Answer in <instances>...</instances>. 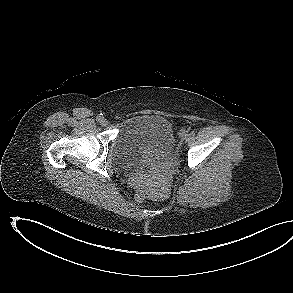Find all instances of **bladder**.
Returning <instances> with one entry per match:
<instances>
[{"mask_svg":"<svg viewBox=\"0 0 293 293\" xmlns=\"http://www.w3.org/2000/svg\"><path fill=\"white\" fill-rule=\"evenodd\" d=\"M171 122L160 115H134L125 119L114 145L115 160L124 167H158L175 151Z\"/></svg>","mask_w":293,"mask_h":293,"instance_id":"1","label":"bladder"}]
</instances>
